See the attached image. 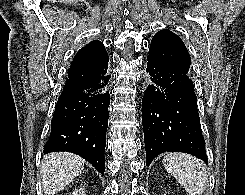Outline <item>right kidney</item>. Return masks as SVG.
Listing matches in <instances>:
<instances>
[{
    "instance_id": "1",
    "label": "right kidney",
    "mask_w": 245,
    "mask_h": 195,
    "mask_svg": "<svg viewBox=\"0 0 245 195\" xmlns=\"http://www.w3.org/2000/svg\"><path fill=\"white\" fill-rule=\"evenodd\" d=\"M73 195H85L83 188L75 189Z\"/></svg>"
}]
</instances>
